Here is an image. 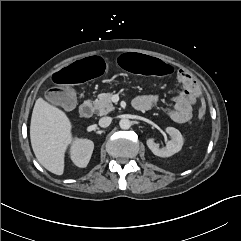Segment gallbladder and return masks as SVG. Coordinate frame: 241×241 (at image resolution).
Masks as SVG:
<instances>
[{
  "label": "gallbladder",
  "mask_w": 241,
  "mask_h": 241,
  "mask_svg": "<svg viewBox=\"0 0 241 241\" xmlns=\"http://www.w3.org/2000/svg\"><path fill=\"white\" fill-rule=\"evenodd\" d=\"M73 100H74V101H73V104H75V97H73Z\"/></svg>",
  "instance_id": "1"
}]
</instances>
